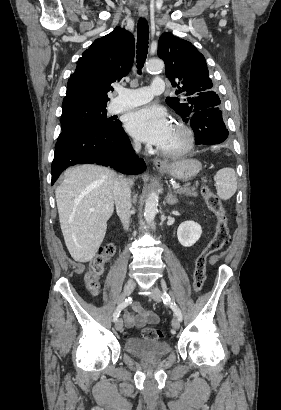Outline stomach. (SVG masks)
<instances>
[{"instance_id":"obj_1","label":"stomach","mask_w":281,"mask_h":410,"mask_svg":"<svg viewBox=\"0 0 281 410\" xmlns=\"http://www.w3.org/2000/svg\"><path fill=\"white\" fill-rule=\"evenodd\" d=\"M202 165L196 159H180L172 162H167L165 166L159 170L170 176L180 179L189 180L195 177L201 170Z\"/></svg>"}]
</instances>
